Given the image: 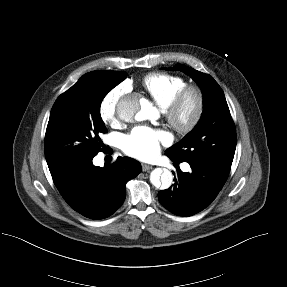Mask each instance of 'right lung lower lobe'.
Returning <instances> with one entry per match:
<instances>
[{
	"label": "right lung lower lobe",
	"mask_w": 287,
	"mask_h": 287,
	"mask_svg": "<svg viewBox=\"0 0 287 287\" xmlns=\"http://www.w3.org/2000/svg\"><path fill=\"white\" fill-rule=\"evenodd\" d=\"M94 156L51 172L53 181L77 212L90 219L113 214L124 202L126 183L141 172V164L129 157H118L104 168L92 163Z\"/></svg>",
	"instance_id": "1"
}]
</instances>
